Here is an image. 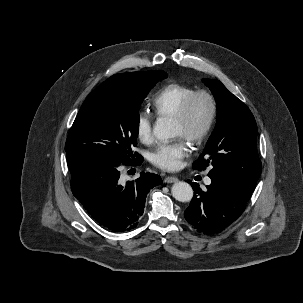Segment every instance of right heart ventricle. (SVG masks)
Here are the masks:
<instances>
[{"label": "right heart ventricle", "mask_w": 303, "mask_h": 303, "mask_svg": "<svg viewBox=\"0 0 303 303\" xmlns=\"http://www.w3.org/2000/svg\"><path fill=\"white\" fill-rule=\"evenodd\" d=\"M194 91V88L180 83L165 85L153 99L155 114L159 117L173 118L185 99Z\"/></svg>", "instance_id": "1"}]
</instances>
